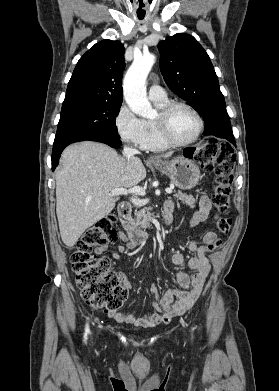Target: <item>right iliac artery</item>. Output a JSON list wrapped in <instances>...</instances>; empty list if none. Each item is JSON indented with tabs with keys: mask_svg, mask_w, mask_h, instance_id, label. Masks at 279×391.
Here are the masks:
<instances>
[{
	"mask_svg": "<svg viewBox=\"0 0 279 391\" xmlns=\"http://www.w3.org/2000/svg\"><path fill=\"white\" fill-rule=\"evenodd\" d=\"M90 331H89V326L88 325H86V328H85V335H84V340L86 341V339H87V334L89 333Z\"/></svg>",
	"mask_w": 279,
	"mask_h": 391,
	"instance_id": "obj_1",
	"label": "right iliac artery"
}]
</instances>
